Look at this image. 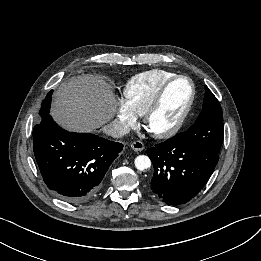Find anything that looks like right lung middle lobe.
<instances>
[{"label": "right lung middle lobe", "mask_w": 261, "mask_h": 261, "mask_svg": "<svg viewBox=\"0 0 261 261\" xmlns=\"http://www.w3.org/2000/svg\"><path fill=\"white\" fill-rule=\"evenodd\" d=\"M52 92H53V90L47 94L45 100H43V102H42L41 110L39 112L41 119H43L46 115L49 114Z\"/></svg>", "instance_id": "1"}]
</instances>
